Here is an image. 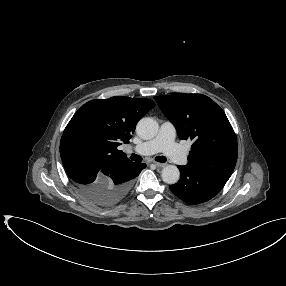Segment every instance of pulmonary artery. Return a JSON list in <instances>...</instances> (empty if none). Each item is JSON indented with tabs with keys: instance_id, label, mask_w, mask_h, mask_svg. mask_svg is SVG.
I'll return each mask as SVG.
<instances>
[{
	"instance_id": "obj_1",
	"label": "pulmonary artery",
	"mask_w": 286,
	"mask_h": 286,
	"mask_svg": "<svg viewBox=\"0 0 286 286\" xmlns=\"http://www.w3.org/2000/svg\"><path fill=\"white\" fill-rule=\"evenodd\" d=\"M175 126L166 121L162 123L155 138L143 142L133 147V150L140 155H152L163 152L175 163L184 165L187 163V157L184 151L175 143Z\"/></svg>"
}]
</instances>
